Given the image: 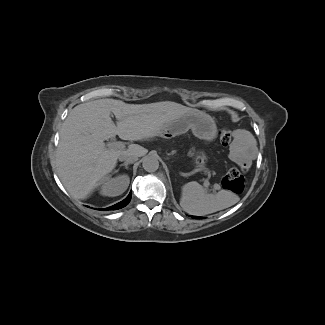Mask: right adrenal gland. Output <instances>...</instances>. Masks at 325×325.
Wrapping results in <instances>:
<instances>
[{"label":"right adrenal gland","mask_w":325,"mask_h":325,"mask_svg":"<svg viewBox=\"0 0 325 325\" xmlns=\"http://www.w3.org/2000/svg\"><path fill=\"white\" fill-rule=\"evenodd\" d=\"M122 166H125V168L128 169V163L120 164V167H122Z\"/></svg>","instance_id":"2a0ac1e0"}]
</instances>
